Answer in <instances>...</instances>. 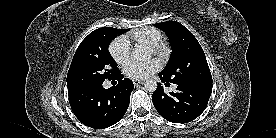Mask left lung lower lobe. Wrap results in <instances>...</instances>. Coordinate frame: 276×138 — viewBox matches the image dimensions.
Instances as JSON below:
<instances>
[{
	"mask_svg": "<svg viewBox=\"0 0 276 138\" xmlns=\"http://www.w3.org/2000/svg\"><path fill=\"white\" fill-rule=\"evenodd\" d=\"M162 82H169L159 73ZM177 92H164L161 84L152 94L153 104L158 113L173 123H187L205 110L209 101L212 84H177Z\"/></svg>",
	"mask_w": 276,
	"mask_h": 138,
	"instance_id": "obj_1",
	"label": "left lung lower lobe"
}]
</instances>
